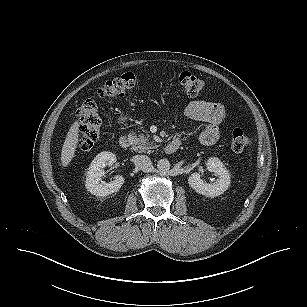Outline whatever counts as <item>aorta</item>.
<instances>
[{
    "label": "aorta",
    "instance_id": "obj_1",
    "mask_svg": "<svg viewBox=\"0 0 307 307\" xmlns=\"http://www.w3.org/2000/svg\"><path fill=\"white\" fill-rule=\"evenodd\" d=\"M170 162L167 159H160L157 162V169L160 172H167L170 169Z\"/></svg>",
    "mask_w": 307,
    "mask_h": 307
}]
</instances>
